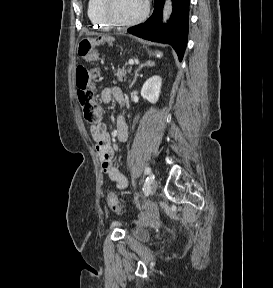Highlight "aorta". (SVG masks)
Segmentation results:
<instances>
[{"label":"aorta","instance_id":"1","mask_svg":"<svg viewBox=\"0 0 273 288\" xmlns=\"http://www.w3.org/2000/svg\"><path fill=\"white\" fill-rule=\"evenodd\" d=\"M171 11H172L171 0H166L165 5H164V9H163L164 21H166L168 19L169 15L171 14Z\"/></svg>","mask_w":273,"mask_h":288}]
</instances>
